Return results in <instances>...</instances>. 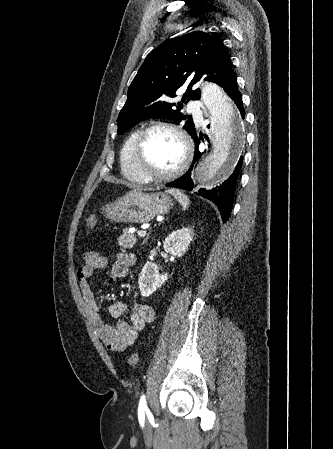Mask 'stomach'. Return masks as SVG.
<instances>
[{"label":"stomach","mask_w":333,"mask_h":449,"mask_svg":"<svg viewBox=\"0 0 333 449\" xmlns=\"http://www.w3.org/2000/svg\"><path fill=\"white\" fill-rule=\"evenodd\" d=\"M171 206L172 200L166 193L145 194L141 191H132L107 204L103 213L111 221L143 224L167 213Z\"/></svg>","instance_id":"stomach-1"}]
</instances>
